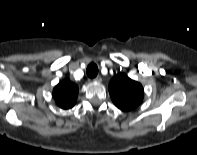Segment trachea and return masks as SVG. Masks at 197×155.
Wrapping results in <instances>:
<instances>
[{
	"label": "trachea",
	"instance_id": "trachea-1",
	"mask_svg": "<svg viewBox=\"0 0 197 155\" xmlns=\"http://www.w3.org/2000/svg\"><path fill=\"white\" fill-rule=\"evenodd\" d=\"M86 73L88 77L94 78L98 74V67L95 63H90L87 67Z\"/></svg>",
	"mask_w": 197,
	"mask_h": 155
}]
</instances>
